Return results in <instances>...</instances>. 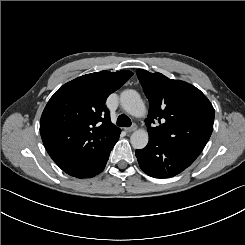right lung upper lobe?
I'll return each mask as SVG.
<instances>
[{
  "label": "right lung upper lobe",
  "instance_id": "1",
  "mask_svg": "<svg viewBox=\"0 0 245 245\" xmlns=\"http://www.w3.org/2000/svg\"><path fill=\"white\" fill-rule=\"evenodd\" d=\"M130 71H101L64 84L47 103L40 134L53 161L69 171L83 159L108 149L121 130L111 123L107 97L131 76Z\"/></svg>",
  "mask_w": 245,
  "mask_h": 245
}]
</instances>
